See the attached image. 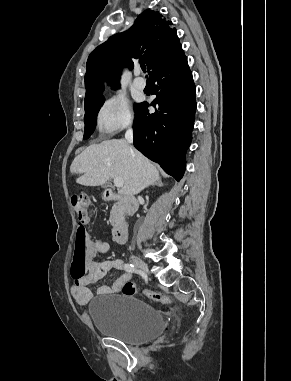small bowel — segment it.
<instances>
[{"label": "small bowel", "mask_w": 291, "mask_h": 381, "mask_svg": "<svg viewBox=\"0 0 291 381\" xmlns=\"http://www.w3.org/2000/svg\"><path fill=\"white\" fill-rule=\"evenodd\" d=\"M109 243L102 238H94L88 242L86 254V267L88 274L74 280L71 286V295L79 306L86 305L92 298L90 285L101 280L108 272L112 270H123V261L120 259H109L97 261V254H104L109 251ZM132 275L123 273L111 286L103 285L98 288L99 294L118 293L124 283L130 281Z\"/></svg>", "instance_id": "c3829d8e"}]
</instances>
